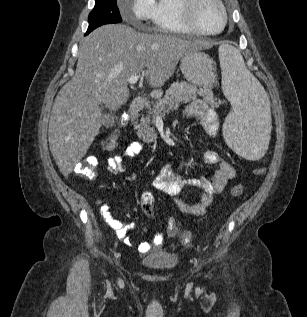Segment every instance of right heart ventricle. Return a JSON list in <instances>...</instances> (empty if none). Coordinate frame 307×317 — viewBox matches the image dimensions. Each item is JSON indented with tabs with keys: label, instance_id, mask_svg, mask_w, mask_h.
<instances>
[{
	"label": "right heart ventricle",
	"instance_id": "right-heart-ventricle-1",
	"mask_svg": "<svg viewBox=\"0 0 307 317\" xmlns=\"http://www.w3.org/2000/svg\"><path fill=\"white\" fill-rule=\"evenodd\" d=\"M154 29L165 33L193 34L185 23L181 11V0H158L154 17Z\"/></svg>",
	"mask_w": 307,
	"mask_h": 317
}]
</instances>
